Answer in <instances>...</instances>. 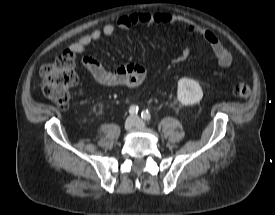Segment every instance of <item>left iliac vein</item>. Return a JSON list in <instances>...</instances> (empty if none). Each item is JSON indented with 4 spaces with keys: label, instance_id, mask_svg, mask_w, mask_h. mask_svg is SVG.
<instances>
[{
    "label": "left iliac vein",
    "instance_id": "4c4485c4",
    "mask_svg": "<svg viewBox=\"0 0 275 215\" xmlns=\"http://www.w3.org/2000/svg\"><path fill=\"white\" fill-rule=\"evenodd\" d=\"M134 120H135V127L140 129L146 128L145 123L139 117L135 116Z\"/></svg>",
    "mask_w": 275,
    "mask_h": 215
}]
</instances>
